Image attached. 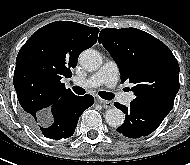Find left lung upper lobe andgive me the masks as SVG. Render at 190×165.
Instances as JSON below:
<instances>
[{
    "label": "left lung upper lobe",
    "mask_w": 190,
    "mask_h": 165,
    "mask_svg": "<svg viewBox=\"0 0 190 165\" xmlns=\"http://www.w3.org/2000/svg\"><path fill=\"white\" fill-rule=\"evenodd\" d=\"M99 43L119 66L121 81L134 84L133 102L173 108L179 65L164 43L136 28L103 29Z\"/></svg>",
    "instance_id": "left-lung-upper-lobe-1"
}]
</instances>
